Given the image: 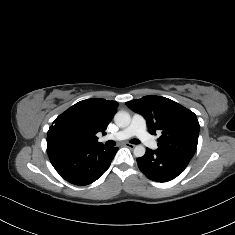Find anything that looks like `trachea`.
I'll list each match as a JSON object with an SVG mask.
<instances>
[{
    "label": "trachea",
    "mask_w": 235,
    "mask_h": 235,
    "mask_svg": "<svg viewBox=\"0 0 235 235\" xmlns=\"http://www.w3.org/2000/svg\"><path fill=\"white\" fill-rule=\"evenodd\" d=\"M131 143H132V144H139L140 141H139L138 139H133V140L131 141ZM114 145H115V143H114L113 141H107V142H106V146L112 147V146H114Z\"/></svg>",
    "instance_id": "1"
}]
</instances>
